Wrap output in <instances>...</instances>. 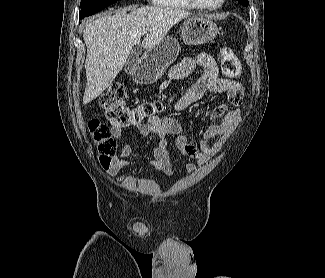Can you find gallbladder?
<instances>
[{
    "label": "gallbladder",
    "instance_id": "1",
    "mask_svg": "<svg viewBox=\"0 0 325 278\" xmlns=\"http://www.w3.org/2000/svg\"><path fill=\"white\" fill-rule=\"evenodd\" d=\"M141 54H142V49L139 46H136L131 50L130 56L125 65V72L127 74H133L135 66Z\"/></svg>",
    "mask_w": 325,
    "mask_h": 278
}]
</instances>
